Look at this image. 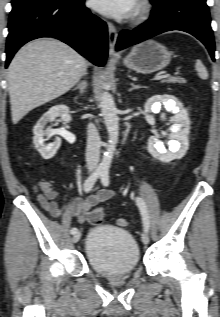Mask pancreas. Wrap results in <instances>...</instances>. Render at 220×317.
<instances>
[{
  "label": "pancreas",
  "mask_w": 220,
  "mask_h": 317,
  "mask_svg": "<svg viewBox=\"0 0 220 317\" xmlns=\"http://www.w3.org/2000/svg\"><path fill=\"white\" fill-rule=\"evenodd\" d=\"M167 83H185L186 80L182 77H170L166 80Z\"/></svg>",
  "instance_id": "cf45deb5"
}]
</instances>
